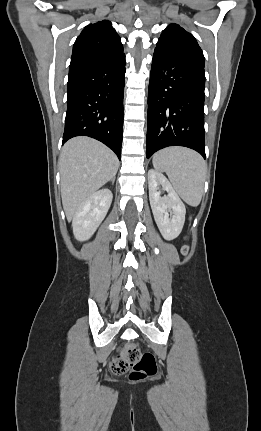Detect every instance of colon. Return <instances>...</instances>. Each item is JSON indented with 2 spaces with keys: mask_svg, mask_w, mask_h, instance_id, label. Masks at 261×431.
Listing matches in <instances>:
<instances>
[{
  "mask_svg": "<svg viewBox=\"0 0 261 431\" xmlns=\"http://www.w3.org/2000/svg\"><path fill=\"white\" fill-rule=\"evenodd\" d=\"M182 253L188 255L189 247L183 246ZM110 369L115 374L128 372L132 381L152 377L157 372L155 357L150 352H141L135 345L127 344L112 357Z\"/></svg>",
  "mask_w": 261,
  "mask_h": 431,
  "instance_id": "1",
  "label": "colon"
}]
</instances>
